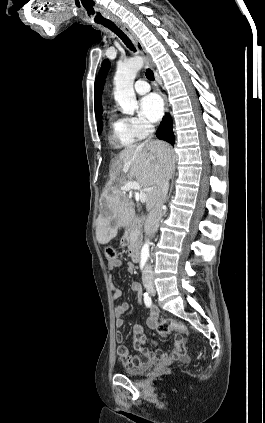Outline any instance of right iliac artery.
I'll use <instances>...</instances> for the list:
<instances>
[{
    "label": "right iliac artery",
    "instance_id": "right-iliac-artery-1",
    "mask_svg": "<svg viewBox=\"0 0 265 423\" xmlns=\"http://www.w3.org/2000/svg\"><path fill=\"white\" fill-rule=\"evenodd\" d=\"M144 303L147 307H150L152 304V300L147 292L144 293Z\"/></svg>",
    "mask_w": 265,
    "mask_h": 423
}]
</instances>
